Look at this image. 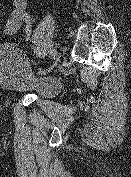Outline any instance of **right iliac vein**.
I'll use <instances>...</instances> for the list:
<instances>
[{"label": "right iliac vein", "instance_id": "1", "mask_svg": "<svg viewBox=\"0 0 131 177\" xmlns=\"http://www.w3.org/2000/svg\"><path fill=\"white\" fill-rule=\"evenodd\" d=\"M54 60V62L56 63L57 60H58V53L56 52V57L55 58H52Z\"/></svg>", "mask_w": 131, "mask_h": 177}]
</instances>
